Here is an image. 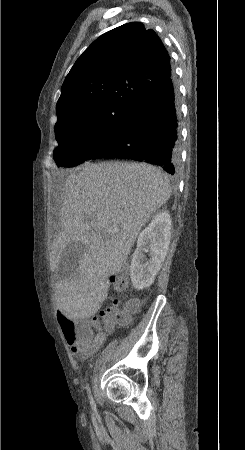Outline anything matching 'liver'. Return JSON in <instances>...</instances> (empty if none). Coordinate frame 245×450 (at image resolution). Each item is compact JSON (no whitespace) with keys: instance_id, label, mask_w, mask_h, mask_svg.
Masks as SVG:
<instances>
[{"instance_id":"obj_1","label":"liver","mask_w":245,"mask_h":450,"mask_svg":"<svg viewBox=\"0 0 245 450\" xmlns=\"http://www.w3.org/2000/svg\"><path fill=\"white\" fill-rule=\"evenodd\" d=\"M77 170L64 183L62 230L52 242L50 266L56 271L70 243L85 245L78 276L58 281L55 295L64 315L87 318L107 298L109 276L127 261L141 228L168 201L171 187L160 169L146 163H86ZM112 228L119 232L109 234Z\"/></svg>"}]
</instances>
